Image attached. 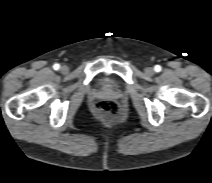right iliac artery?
Listing matches in <instances>:
<instances>
[{
  "mask_svg": "<svg viewBox=\"0 0 212 183\" xmlns=\"http://www.w3.org/2000/svg\"><path fill=\"white\" fill-rule=\"evenodd\" d=\"M53 68H54V70H58L60 68V65L59 64H54Z\"/></svg>",
  "mask_w": 212,
  "mask_h": 183,
  "instance_id": "right-iliac-artery-1",
  "label": "right iliac artery"
}]
</instances>
